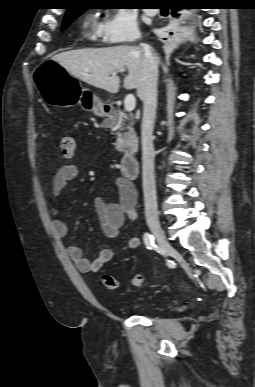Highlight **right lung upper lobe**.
Returning a JSON list of instances; mask_svg holds the SVG:
<instances>
[{
    "instance_id": "1",
    "label": "right lung upper lobe",
    "mask_w": 255,
    "mask_h": 387,
    "mask_svg": "<svg viewBox=\"0 0 255 387\" xmlns=\"http://www.w3.org/2000/svg\"><path fill=\"white\" fill-rule=\"evenodd\" d=\"M75 8H78V7H71V8H68L67 12H69V11H71V10H74ZM79 10H85V8L79 7Z\"/></svg>"
}]
</instances>
